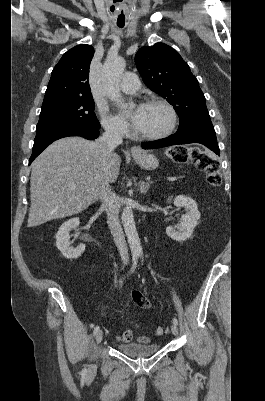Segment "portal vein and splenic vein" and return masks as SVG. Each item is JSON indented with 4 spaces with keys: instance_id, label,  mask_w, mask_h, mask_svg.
I'll return each mask as SVG.
<instances>
[{
    "instance_id": "obj_1",
    "label": "portal vein and splenic vein",
    "mask_w": 265,
    "mask_h": 401,
    "mask_svg": "<svg viewBox=\"0 0 265 401\" xmlns=\"http://www.w3.org/2000/svg\"><path fill=\"white\" fill-rule=\"evenodd\" d=\"M164 180H168V181H178L179 177L178 176H168V177H164Z\"/></svg>"
}]
</instances>
